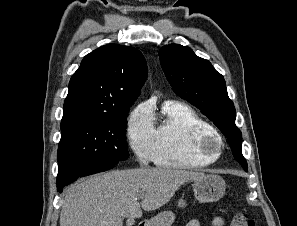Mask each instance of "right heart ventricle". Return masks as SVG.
Segmentation results:
<instances>
[{
    "mask_svg": "<svg viewBox=\"0 0 297 226\" xmlns=\"http://www.w3.org/2000/svg\"><path fill=\"white\" fill-rule=\"evenodd\" d=\"M154 130V161L158 166L195 169L212 164L216 157L199 154L194 141L213 126L189 105L175 100L166 101L159 115L151 112Z\"/></svg>",
    "mask_w": 297,
    "mask_h": 226,
    "instance_id": "right-heart-ventricle-1",
    "label": "right heart ventricle"
}]
</instances>
